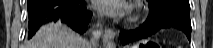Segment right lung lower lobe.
I'll return each mask as SVG.
<instances>
[{"instance_id":"1","label":"right lung lower lobe","mask_w":213,"mask_h":48,"mask_svg":"<svg viewBox=\"0 0 213 48\" xmlns=\"http://www.w3.org/2000/svg\"><path fill=\"white\" fill-rule=\"evenodd\" d=\"M28 28L31 38L47 22L60 20L73 30L83 33L92 13L87 11L84 0H28Z\"/></svg>"}]
</instances>
